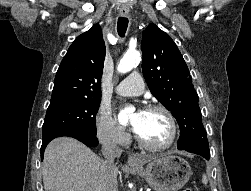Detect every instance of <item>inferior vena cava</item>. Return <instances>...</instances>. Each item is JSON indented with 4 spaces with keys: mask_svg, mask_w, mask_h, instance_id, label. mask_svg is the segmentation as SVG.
I'll use <instances>...</instances> for the list:
<instances>
[{
    "mask_svg": "<svg viewBox=\"0 0 251 191\" xmlns=\"http://www.w3.org/2000/svg\"><path fill=\"white\" fill-rule=\"evenodd\" d=\"M102 153L104 157H106V161L115 167L114 161L116 157H120L122 149L121 147H118L115 141H112V139H107L106 137V139H103L102 141Z\"/></svg>",
    "mask_w": 251,
    "mask_h": 191,
    "instance_id": "1",
    "label": "inferior vena cava"
}]
</instances>
